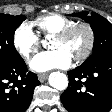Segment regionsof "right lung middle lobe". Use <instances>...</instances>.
<instances>
[{
  "instance_id": "1",
  "label": "right lung middle lobe",
  "mask_w": 112,
  "mask_h": 112,
  "mask_svg": "<svg viewBox=\"0 0 112 112\" xmlns=\"http://www.w3.org/2000/svg\"><path fill=\"white\" fill-rule=\"evenodd\" d=\"M25 19L24 15L11 16L0 13V66L21 57L14 47V33Z\"/></svg>"
}]
</instances>
